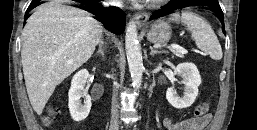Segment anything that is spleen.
<instances>
[{
	"label": "spleen",
	"mask_w": 257,
	"mask_h": 130,
	"mask_svg": "<svg viewBox=\"0 0 257 130\" xmlns=\"http://www.w3.org/2000/svg\"><path fill=\"white\" fill-rule=\"evenodd\" d=\"M170 20L173 22L181 21L182 24L186 25L196 46L209 55L211 59H222L223 53L219 40L205 19L192 11L185 10L181 14L178 12L172 14Z\"/></svg>",
	"instance_id": "obj_1"
}]
</instances>
